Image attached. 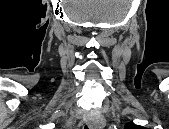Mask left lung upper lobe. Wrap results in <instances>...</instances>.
I'll return each mask as SVG.
<instances>
[{
	"label": "left lung upper lobe",
	"mask_w": 169,
	"mask_h": 129,
	"mask_svg": "<svg viewBox=\"0 0 169 129\" xmlns=\"http://www.w3.org/2000/svg\"><path fill=\"white\" fill-rule=\"evenodd\" d=\"M125 129H140L141 126L135 125L133 123H128L127 125H125L124 127Z\"/></svg>",
	"instance_id": "left-lung-upper-lobe-1"
}]
</instances>
